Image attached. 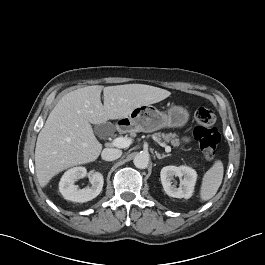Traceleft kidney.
<instances>
[{
  "label": "left kidney",
  "mask_w": 265,
  "mask_h": 265,
  "mask_svg": "<svg viewBox=\"0 0 265 265\" xmlns=\"http://www.w3.org/2000/svg\"><path fill=\"white\" fill-rule=\"evenodd\" d=\"M174 176L180 178L179 187L172 184ZM160 178L167 195L174 198L188 199L193 194L197 173L188 166H165L161 169Z\"/></svg>",
  "instance_id": "1"
}]
</instances>
